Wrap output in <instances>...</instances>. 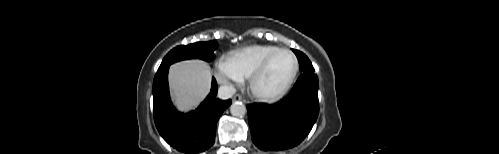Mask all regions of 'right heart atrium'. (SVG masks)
<instances>
[{"instance_id": "right-heart-atrium-1", "label": "right heart atrium", "mask_w": 499, "mask_h": 154, "mask_svg": "<svg viewBox=\"0 0 499 154\" xmlns=\"http://www.w3.org/2000/svg\"><path fill=\"white\" fill-rule=\"evenodd\" d=\"M215 76L218 82L226 86L239 84L243 81V77L234 67L228 57H220L215 64Z\"/></svg>"}]
</instances>
